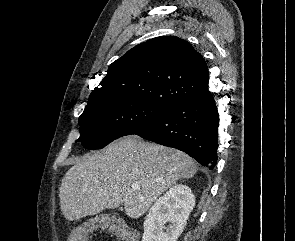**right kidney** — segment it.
Returning <instances> with one entry per match:
<instances>
[{
    "mask_svg": "<svg viewBox=\"0 0 295 241\" xmlns=\"http://www.w3.org/2000/svg\"><path fill=\"white\" fill-rule=\"evenodd\" d=\"M194 206L195 196L188 186L176 184L170 188L150 208L143 223L142 241H176Z\"/></svg>",
    "mask_w": 295,
    "mask_h": 241,
    "instance_id": "right-kidney-1",
    "label": "right kidney"
}]
</instances>
